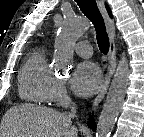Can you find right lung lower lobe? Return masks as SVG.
Returning <instances> with one entry per match:
<instances>
[{"mask_svg": "<svg viewBox=\"0 0 144 137\" xmlns=\"http://www.w3.org/2000/svg\"><path fill=\"white\" fill-rule=\"evenodd\" d=\"M88 125H89L90 128H92L93 131L95 130L96 126H95V123L92 119L89 121Z\"/></svg>", "mask_w": 144, "mask_h": 137, "instance_id": "1", "label": "right lung lower lobe"}]
</instances>
